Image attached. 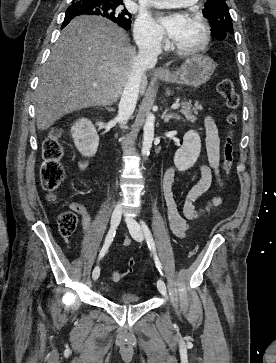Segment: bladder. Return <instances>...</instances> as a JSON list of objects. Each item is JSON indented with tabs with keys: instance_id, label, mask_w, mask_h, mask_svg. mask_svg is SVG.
I'll use <instances>...</instances> for the list:
<instances>
[{
	"instance_id": "bladder-1",
	"label": "bladder",
	"mask_w": 276,
	"mask_h": 363,
	"mask_svg": "<svg viewBox=\"0 0 276 363\" xmlns=\"http://www.w3.org/2000/svg\"><path fill=\"white\" fill-rule=\"evenodd\" d=\"M117 301L122 304L130 305V304L140 303L142 299L139 296H136L132 293L125 292L120 295Z\"/></svg>"
}]
</instances>
